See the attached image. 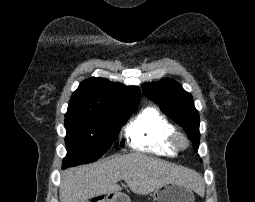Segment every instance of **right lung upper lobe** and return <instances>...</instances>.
Returning <instances> with one entry per match:
<instances>
[{"label":"right lung upper lobe","instance_id":"obj_1","mask_svg":"<svg viewBox=\"0 0 255 202\" xmlns=\"http://www.w3.org/2000/svg\"><path fill=\"white\" fill-rule=\"evenodd\" d=\"M140 89L106 78L92 77L80 83L73 93L65 116L106 114L138 105Z\"/></svg>","mask_w":255,"mask_h":202}]
</instances>
